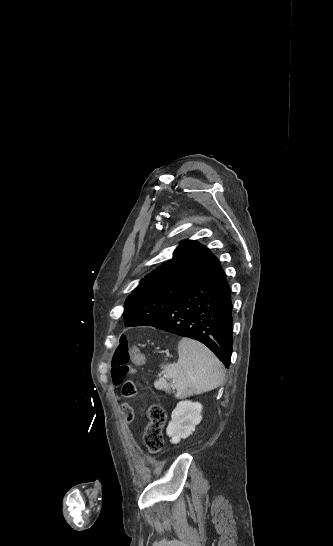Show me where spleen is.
<instances>
[{
    "label": "spleen",
    "mask_w": 333,
    "mask_h": 546,
    "mask_svg": "<svg viewBox=\"0 0 333 546\" xmlns=\"http://www.w3.org/2000/svg\"><path fill=\"white\" fill-rule=\"evenodd\" d=\"M177 363L162 366L163 377L154 386L170 393L176 390V398H185L213 390L224 381V370L219 359L203 344L182 338L178 344ZM171 379L170 382H167Z\"/></svg>",
    "instance_id": "spleen-1"
}]
</instances>
